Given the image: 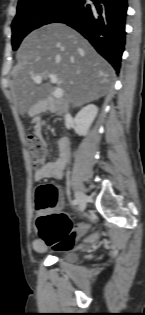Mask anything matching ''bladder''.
<instances>
[{"label": "bladder", "mask_w": 145, "mask_h": 315, "mask_svg": "<svg viewBox=\"0 0 145 315\" xmlns=\"http://www.w3.org/2000/svg\"><path fill=\"white\" fill-rule=\"evenodd\" d=\"M58 258L66 263H75L77 261V252L74 249H64Z\"/></svg>", "instance_id": "obj_1"}]
</instances>
